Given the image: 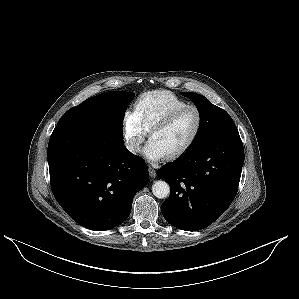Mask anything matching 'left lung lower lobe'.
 Returning a JSON list of instances; mask_svg holds the SVG:
<instances>
[{
	"label": "left lung lower lobe",
	"instance_id": "0a47b994",
	"mask_svg": "<svg viewBox=\"0 0 299 299\" xmlns=\"http://www.w3.org/2000/svg\"><path fill=\"white\" fill-rule=\"evenodd\" d=\"M243 163L244 149L235 124L187 150L157 172L171 187L161 206L164 218L181 230L208 227L234 200Z\"/></svg>",
	"mask_w": 299,
	"mask_h": 299
}]
</instances>
